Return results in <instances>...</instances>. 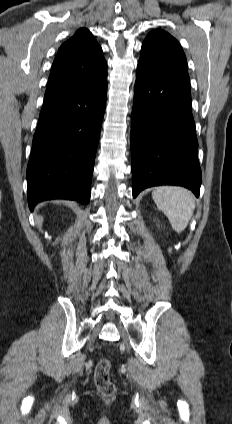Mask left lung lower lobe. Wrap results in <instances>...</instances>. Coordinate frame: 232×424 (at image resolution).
<instances>
[{
  "label": "left lung lower lobe",
  "mask_w": 232,
  "mask_h": 424,
  "mask_svg": "<svg viewBox=\"0 0 232 424\" xmlns=\"http://www.w3.org/2000/svg\"><path fill=\"white\" fill-rule=\"evenodd\" d=\"M187 71L137 67L131 123L133 197L158 185L199 196L201 169Z\"/></svg>",
  "instance_id": "0a47b994"
}]
</instances>
